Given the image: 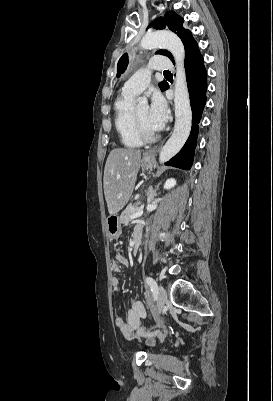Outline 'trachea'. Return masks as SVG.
I'll return each mask as SVG.
<instances>
[{
    "label": "trachea",
    "instance_id": "1",
    "mask_svg": "<svg viewBox=\"0 0 273 401\" xmlns=\"http://www.w3.org/2000/svg\"><path fill=\"white\" fill-rule=\"evenodd\" d=\"M166 73H170L169 70H165Z\"/></svg>",
    "mask_w": 273,
    "mask_h": 401
}]
</instances>
